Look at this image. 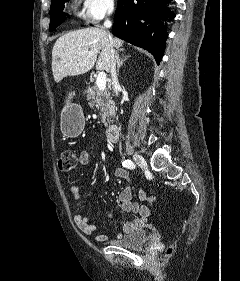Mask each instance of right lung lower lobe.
I'll use <instances>...</instances> for the list:
<instances>
[{
    "mask_svg": "<svg viewBox=\"0 0 240 281\" xmlns=\"http://www.w3.org/2000/svg\"><path fill=\"white\" fill-rule=\"evenodd\" d=\"M171 0H118L112 32L115 36L148 50L159 63L168 37L161 20L175 16L166 7ZM144 19L145 23L140 20Z\"/></svg>",
    "mask_w": 240,
    "mask_h": 281,
    "instance_id": "1",
    "label": "right lung lower lobe"
}]
</instances>
